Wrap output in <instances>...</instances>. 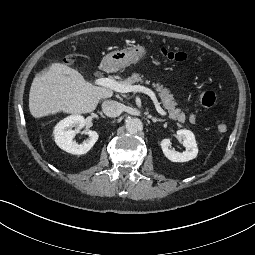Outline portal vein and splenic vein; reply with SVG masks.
Masks as SVG:
<instances>
[{
    "instance_id": "obj_1",
    "label": "portal vein and splenic vein",
    "mask_w": 255,
    "mask_h": 255,
    "mask_svg": "<svg viewBox=\"0 0 255 255\" xmlns=\"http://www.w3.org/2000/svg\"><path fill=\"white\" fill-rule=\"evenodd\" d=\"M95 84L109 88L111 90H114V91L120 92V93H127V92L145 93L152 99L157 112L163 116L166 115V112L161 108V106L155 96V93L149 88H146L141 85L132 86V85H127V84H122V83H119V82L109 79V78H99L95 81Z\"/></svg>"
}]
</instances>
